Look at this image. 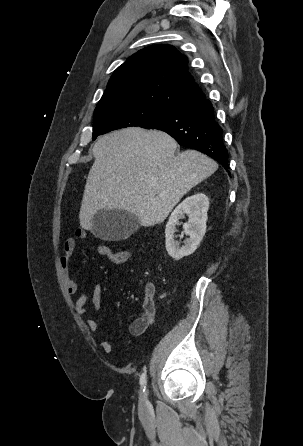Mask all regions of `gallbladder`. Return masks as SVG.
<instances>
[{
  "mask_svg": "<svg viewBox=\"0 0 303 446\" xmlns=\"http://www.w3.org/2000/svg\"><path fill=\"white\" fill-rule=\"evenodd\" d=\"M136 216L124 211L101 210L92 219L91 232L103 240H122L138 230Z\"/></svg>",
  "mask_w": 303,
  "mask_h": 446,
  "instance_id": "obj_1",
  "label": "gallbladder"
}]
</instances>
